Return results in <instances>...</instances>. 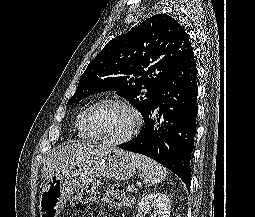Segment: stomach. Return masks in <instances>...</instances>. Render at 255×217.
I'll list each match as a JSON object with an SVG mask.
<instances>
[{"mask_svg": "<svg viewBox=\"0 0 255 217\" xmlns=\"http://www.w3.org/2000/svg\"><path fill=\"white\" fill-rule=\"evenodd\" d=\"M135 170L128 152L106 148L99 155L77 163L47 181L40 193V216L58 217L77 190L99 177L126 180L134 175Z\"/></svg>", "mask_w": 255, "mask_h": 217, "instance_id": "obj_1", "label": "stomach"}]
</instances>
